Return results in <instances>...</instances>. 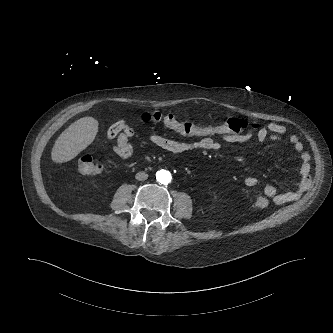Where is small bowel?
<instances>
[{
	"mask_svg": "<svg viewBox=\"0 0 333 333\" xmlns=\"http://www.w3.org/2000/svg\"><path fill=\"white\" fill-rule=\"evenodd\" d=\"M235 119V118H234ZM138 120L143 125H149L154 120V115L149 110H143L138 115ZM126 122L119 120L115 122L107 132V139H116L114 151L121 157H129L132 154L133 148L130 140L133 137V132L129 128H125ZM287 129L284 125L271 122L265 126H261L254 133L252 130L242 132H229L226 135L213 136L209 138H200L197 141L185 142L177 141L159 134H151L148 140L156 147L171 153H187L197 150H212L216 151L222 147L223 143H245L249 141L255 134L259 143H264L266 140H280L284 137ZM289 142L294 150L299 154L301 181L298 186L289 192L281 193L273 185H264L263 193L266 197L272 198L277 204H287L297 200L303 193L304 185L310 171V155L304 151L303 143L296 135L289 137ZM244 184L247 187H257L260 181L254 176H247L244 179Z\"/></svg>",
	"mask_w": 333,
	"mask_h": 333,
	"instance_id": "small-bowel-1",
	"label": "small bowel"
}]
</instances>
